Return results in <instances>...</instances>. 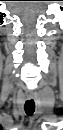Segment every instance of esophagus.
<instances>
[{"instance_id": "1", "label": "esophagus", "mask_w": 63, "mask_h": 130, "mask_svg": "<svg viewBox=\"0 0 63 130\" xmlns=\"http://www.w3.org/2000/svg\"><path fill=\"white\" fill-rule=\"evenodd\" d=\"M26 96H27L28 99L34 98V94L33 93H28Z\"/></svg>"}]
</instances>
